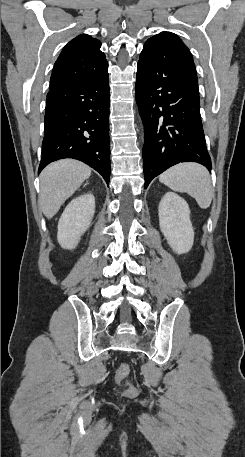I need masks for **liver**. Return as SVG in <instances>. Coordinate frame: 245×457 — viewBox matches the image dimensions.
Instances as JSON below:
<instances>
[{"instance_id": "6515ba94", "label": "liver", "mask_w": 245, "mask_h": 457, "mask_svg": "<svg viewBox=\"0 0 245 457\" xmlns=\"http://www.w3.org/2000/svg\"><path fill=\"white\" fill-rule=\"evenodd\" d=\"M90 174V166L73 158H62L48 164L40 174L39 202L43 214L52 218L66 198L71 196Z\"/></svg>"}]
</instances>
